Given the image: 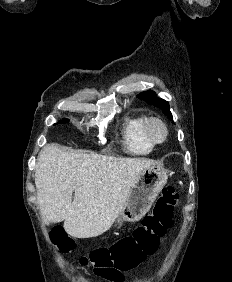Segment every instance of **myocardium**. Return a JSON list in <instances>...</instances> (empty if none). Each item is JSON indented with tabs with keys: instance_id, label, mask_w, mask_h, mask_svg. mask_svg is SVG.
<instances>
[{
	"instance_id": "obj_1",
	"label": "myocardium",
	"mask_w": 232,
	"mask_h": 282,
	"mask_svg": "<svg viewBox=\"0 0 232 282\" xmlns=\"http://www.w3.org/2000/svg\"><path fill=\"white\" fill-rule=\"evenodd\" d=\"M156 128H160L161 135H157L155 132ZM143 134L145 138L153 145L163 144L169 135V129L164 120L156 116L147 117L144 126Z\"/></svg>"
}]
</instances>
